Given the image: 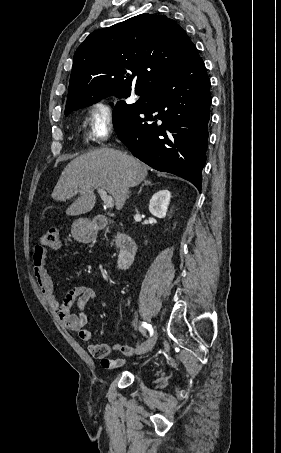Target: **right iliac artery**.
<instances>
[{"label": "right iliac artery", "instance_id": "right-iliac-artery-1", "mask_svg": "<svg viewBox=\"0 0 281 453\" xmlns=\"http://www.w3.org/2000/svg\"><path fill=\"white\" fill-rule=\"evenodd\" d=\"M142 326L149 330L150 336L153 335V328H152V326L150 324H147L146 322H143Z\"/></svg>", "mask_w": 281, "mask_h": 453}]
</instances>
